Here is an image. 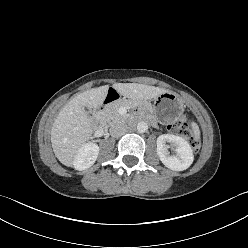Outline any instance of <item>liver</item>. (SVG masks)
Listing matches in <instances>:
<instances>
[{"mask_svg": "<svg viewBox=\"0 0 248 248\" xmlns=\"http://www.w3.org/2000/svg\"><path fill=\"white\" fill-rule=\"evenodd\" d=\"M113 88L133 101L156 98L165 89L138 83H117ZM109 86L84 91L72 98L60 111L51 129L52 148L57 159L65 166H73L82 146L92 138L93 124L85 107L97 109L102 105Z\"/></svg>", "mask_w": 248, "mask_h": 248, "instance_id": "liver-1", "label": "liver"}]
</instances>
